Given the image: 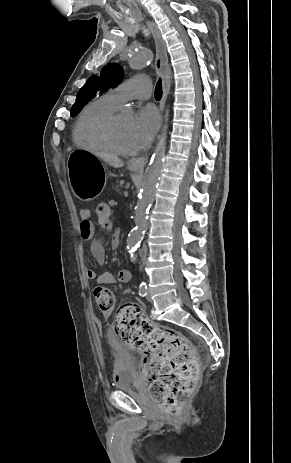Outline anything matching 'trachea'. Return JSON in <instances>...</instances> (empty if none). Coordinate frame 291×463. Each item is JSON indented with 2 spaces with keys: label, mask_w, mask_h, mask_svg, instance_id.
I'll use <instances>...</instances> for the list:
<instances>
[{
  "label": "trachea",
  "mask_w": 291,
  "mask_h": 463,
  "mask_svg": "<svg viewBox=\"0 0 291 463\" xmlns=\"http://www.w3.org/2000/svg\"><path fill=\"white\" fill-rule=\"evenodd\" d=\"M162 97V82L161 79L158 80L156 88H155V98L160 100Z\"/></svg>",
  "instance_id": "1"
}]
</instances>
